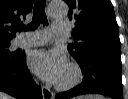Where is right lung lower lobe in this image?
<instances>
[{
	"mask_svg": "<svg viewBox=\"0 0 128 99\" xmlns=\"http://www.w3.org/2000/svg\"><path fill=\"white\" fill-rule=\"evenodd\" d=\"M0 91L17 99H42L41 88L34 83L26 66L24 52L15 59L0 58Z\"/></svg>",
	"mask_w": 128,
	"mask_h": 99,
	"instance_id": "obj_1",
	"label": "right lung lower lobe"
}]
</instances>
